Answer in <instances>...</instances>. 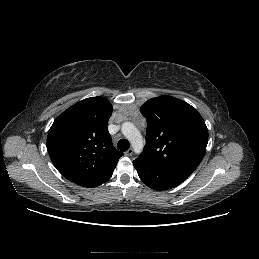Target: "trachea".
<instances>
[{
	"label": "trachea",
	"mask_w": 259,
	"mask_h": 259,
	"mask_svg": "<svg viewBox=\"0 0 259 259\" xmlns=\"http://www.w3.org/2000/svg\"><path fill=\"white\" fill-rule=\"evenodd\" d=\"M129 147H130V144L126 139H121V140L118 141L117 148L120 151L125 152L129 149Z\"/></svg>",
	"instance_id": "1"
}]
</instances>
